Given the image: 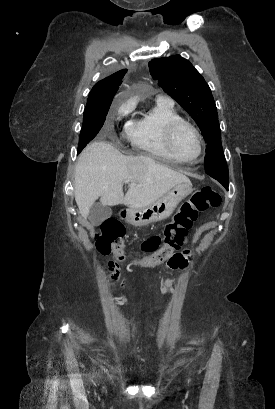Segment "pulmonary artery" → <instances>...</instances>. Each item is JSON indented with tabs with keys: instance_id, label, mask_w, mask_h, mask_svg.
Returning a JSON list of instances; mask_svg holds the SVG:
<instances>
[{
	"instance_id": "e3ab8cb5",
	"label": "pulmonary artery",
	"mask_w": 275,
	"mask_h": 409,
	"mask_svg": "<svg viewBox=\"0 0 275 409\" xmlns=\"http://www.w3.org/2000/svg\"><path fill=\"white\" fill-rule=\"evenodd\" d=\"M158 103H165L168 105H173V101L169 97H158L157 98Z\"/></svg>"
}]
</instances>
